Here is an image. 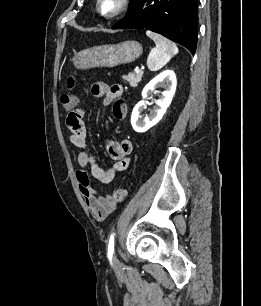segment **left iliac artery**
<instances>
[{
    "mask_svg": "<svg viewBox=\"0 0 261 306\" xmlns=\"http://www.w3.org/2000/svg\"><path fill=\"white\" fill-rule=\"evenodd\" d=\"M114 254V233L110 236L108 243V258L111 260Z\"/></svg>",
    "mask_w": 261,
    "mask_h": 306,
    "instance_id": "1",
    "label": "left iliac artery"
}]
</instances>
